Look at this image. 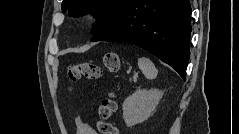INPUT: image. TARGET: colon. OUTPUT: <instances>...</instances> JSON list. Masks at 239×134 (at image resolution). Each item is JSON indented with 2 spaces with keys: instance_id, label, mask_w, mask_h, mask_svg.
<instances>
[{
  "instance_id": "obj_1",
  "label": "colon",
  "mask_w": 239,
  "mask_h": 134,
  "mask_svg": "<svg viewBox=\"0 0 239 134\" xmlns=\"http://www.w3.org/2000/svg\"><path fill=\"white\" fill-rule=\"evenodd\" d=\"M120 68V58L117 53L109 52L103 58V68L93 62H83L70 65L67 69V77L71 83L81 78L87 80H97L101 77L103 70L115 72ZM117 111V101L114 95L104 98L98 107L99 121L97 128L102 134H118V128L112 123L107 122Z\"/></svg>"
}]
</instances>
